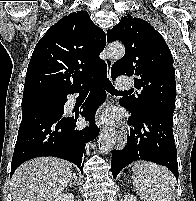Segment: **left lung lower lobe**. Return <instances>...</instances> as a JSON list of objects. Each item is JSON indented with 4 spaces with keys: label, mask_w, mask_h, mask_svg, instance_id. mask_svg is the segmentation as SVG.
<instances>
[{
    "label": "left lung lower lobe",
    "mask_w": 196,
    "mask_h": 201,
    "mask_svg": "<svg viewBox=\"0 0 196 201\" xmlns=\"http://www.w3.org/2000/svg\"><path fill=\"white\" fill-rule=\"evenodd\" d=\"M128 122L132 128L127 144L123 150L112 154L113 178L131 162L147 160L166 166L178 180L177 150L172 132L173 112L149 107L138 114L131 113Z\"/></svg>",
    "instance_id": "left-lung-lower-lobe-1"
}]
</instances>
